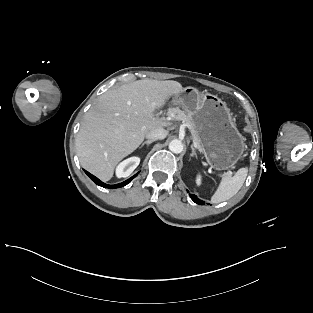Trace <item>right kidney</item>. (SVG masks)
<instances>
[{"mask_svg": "<svg viewBox=\"0 0 313 313\" xmlns=\"http://www.w3.org/2000/svg\"><path fill=\"white\" fill-rule=\"evenodd\" d=\"M139 157H130L123 162H121L116 168L117 177H128L139 165Z\"/></svg>", "mask_w": 313, "mask_h": 313, "instance_id": "ca27d5eb", "label": "right kidney"}]
</instances>
